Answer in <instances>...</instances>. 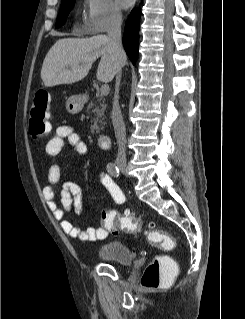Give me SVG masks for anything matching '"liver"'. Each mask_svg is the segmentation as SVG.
<instances>
[{
    "mask_svg": "<svg viewBox=\"0 0 245 319\" xmlns=\"http://www.w3.org/2000/svg\"><path fill=\"white\" fill-rule=\"evenodd\" d=\"M98 58L101 59L96 76L102 82L112 81L126 63L125 55L117 61L106 35L59 39L43 61L41 79L45 87L76 83L86 77Z\"/></svg>",
    "mask_w": 245,
    "mask_h": 319,
    "instance_id": "1",
    "label": "liver"
}]
</instances>
